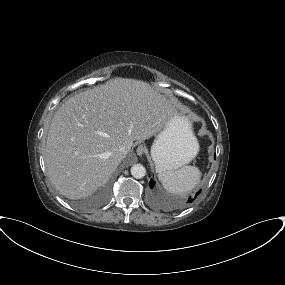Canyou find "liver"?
<instances>
[{"mask_svg":"<svg viewBox=\"0 0 285 285\" xmlns=\"http://www.w3.org/2000/svg\"><path fill=\"white\" fill-rule=\"evenodd\" d=\"M173 100L148 83L115 78L68 99L55 113L44 159L47 174L65 197L80 199L104 185L134 141L162 132L177 119Z\"/></svg>","mask_w":285,"mask_h":285,"instance_id":"liver-1","label":"liver"}]
</instances>
